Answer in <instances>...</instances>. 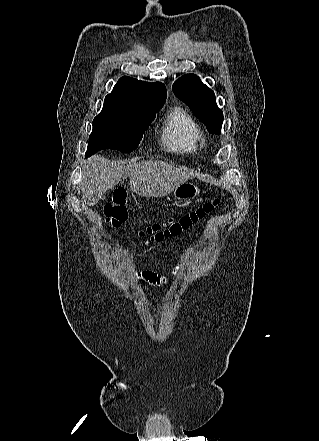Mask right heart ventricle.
<instances>
[{
  "label": "right heart ventricle",
  "mask_w": 319,
  "mask_h": 441,
  "mask_svg": "<svg viewBox=\"0 0 319 441\" xmlns=\"http://www.w3.org/2000/svg\"><path fill=\"white\" fill-rule=\"evenodd\" d=\"M161 140L173 151H196L203 140L202 132L191 116L181 108L173 109L161 129Z\"/></svg>",
  "instance_id": "right-heart-ventricle-1"
}]
</instances>
